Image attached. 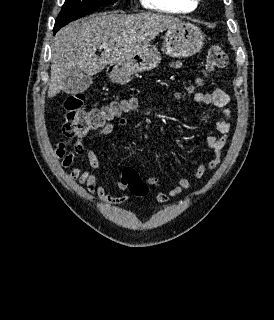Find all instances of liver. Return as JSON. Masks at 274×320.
Instances as JSON below:
<instances>
[{
	"instance_id": "liver-1",
	"label": "liver",
	"mask_w": 274,
	"mask_h": 320,
	"mask_svg": "<svg viewBox=\"0 0 274 320\" xmlns=\"http://www.w3.org/2000/svg\"><path fill=\"white\" fill-rule=\"evenodd\" d=\"M181 20L165 14H132L119 12L92 14L71 22L57 32L51 50V80L48 98L61 90L72 94L76 78H91L104 70L107 64H121L134 58L140 50L161 32L179 24ZM103 48L100 58L96 52Z\"/></svg>"
}]
</instances>
